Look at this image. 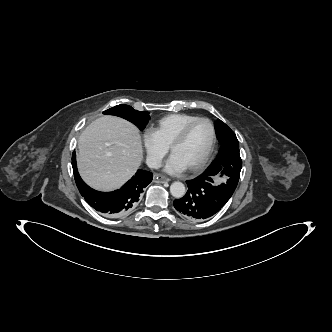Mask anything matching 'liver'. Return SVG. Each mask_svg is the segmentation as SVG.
Returning <instances> with one entry per match:
<instances>
[{
	"mask_svg": "<svg viewBox=\"0 0 332 332\" xmlns=\"http://www.w3.org/2000/svg\"><path fill=\"white\" fill-rule=\"evenodd\" d=\"M77 165L92 188L111 191L123 185L140 166L143 148L137 128L105 115L90 123L78 139Z\"/></svg>",
	"mask_w": 332,
	"mask_h": 332,
	"instance_id": "obj_1",
	"label": "liver"
}]
</instances>
